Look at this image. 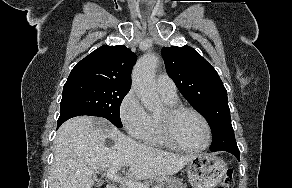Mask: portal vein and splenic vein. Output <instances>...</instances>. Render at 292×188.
Segmentation results:
<instances>
[{
    "instance_id": "1",
    "label": "portal vein and splenic vein",
    "mask_w": 292,
    "mask_h": 188,
    "mask_svg": "<svg viewBox=\"0 0 292 188\" xmlns=\"http://www.w3.org/2000/svg\"><path fill=\"white\" fill-rule=\"evenodd\" d=\"M119 168H110L106 171L105 175L108 179L113 180L115 182H120L126 188H148L147 185L139 182H130V181H122V178L117 174ZM154 188H160L158 185Z\"/></svg>"
}]
</instances>
